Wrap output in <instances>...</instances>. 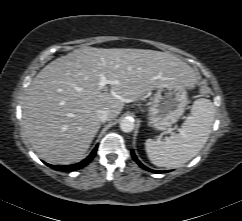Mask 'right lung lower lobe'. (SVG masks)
<instances>
[{"label":"right lung lower lobe","mask_w":242,"mask_h":221,"mask_svg":"<svg viewBox=\"0 0 242 221\" xmlns=\"http://www.w3.org/2000/svg\"><path fill=\"white\" fill-rule=\"evenodd\" d=\"M98 146H96L94 148V150L91 152V154L84 159L83 161L77 163V164H73V165H66V166H55V165H50L47 164L49 167L55 169V170H59V171H74V170H78L83 168L84 166H86L95 156L96 151H97Z\"/></svg>","instance_id":"1"}]
</instances>
